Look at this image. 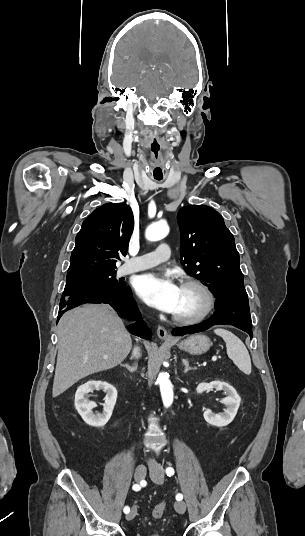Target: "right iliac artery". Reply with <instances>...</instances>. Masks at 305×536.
I'll return each instance as SVG.
<instances>
[{
	"label": "right iliac artery",
	"instance_id": "obj_1",
	"mask_svg": "<svg viewBox=\"0 0 305 536\" xmlns=\"http://www.w3.org/2000/svg\"><path fill=\"white\" fill-rule=\"evenodd\" d=\"M140 485H141V483H140ZM140 485L139 484H134L132 489L135 490V491H139L141 489ZM123 511H124L125 514H127V513H129L130 508L128 506H125Z\"/></svg>",
	"mask_w": 305,
	"mask_h": 536
}]
</instances>
